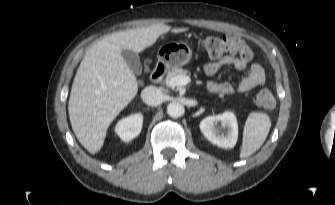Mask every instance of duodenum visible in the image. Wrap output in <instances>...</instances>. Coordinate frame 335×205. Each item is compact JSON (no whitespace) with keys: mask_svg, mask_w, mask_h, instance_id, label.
<instances>
[{"mask_svg":"<svg viewBox=\"0 0 335 205\" xmlns=\"http://www.w3.org/2000/svg\"><path fill=\"white\" fill-rule=\"evenodd\" d=\"M167 71V65L163 61H159L151 73V79L153 82L158 83L162 80Z\"/></svg>","mask_w":335,"mask_h":205,"instance_id":"410a0bca","label":"duodenum"}]
</instances>
